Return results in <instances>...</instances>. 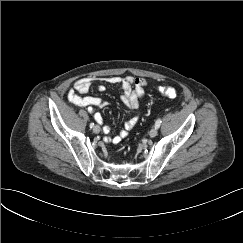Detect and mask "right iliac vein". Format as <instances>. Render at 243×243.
I'll return each mask as SVG.
<instances>
[{"label": "right iliac vein", "mask_w": 243, "mask_h": 243, "mask_svg": "<svg viewBox=\"0 0 243 243\" xmlns=\"http://www.w3.org/2000/svg\"><path fill=\"white\" fill-rule=\"evenodd\" d=\"M100 130H101V128H100L99 125H95V126L93 127V132L96 133V134L99 133Z\"/></svg>", "instance_id": "obj_1"}]
</instances>
